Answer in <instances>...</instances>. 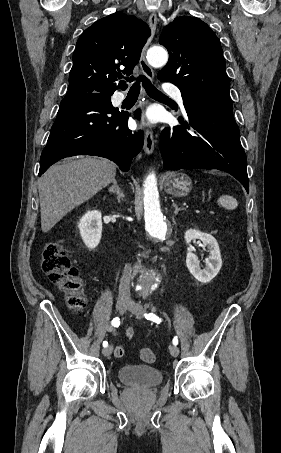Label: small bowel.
<instances>
[{"mask_svg":"<svg viewBox=\"0 0 281 453\" xmlns=\"http://www.w3.org/2000/svg\"><path fill=\"white\" fill-rule=\"evenodd\" d=\"M134 336V331L131 328L126 329L125 331V337L128 339H132ZM124 352V347L123 346H116L114 348V354L116 356H120Z\"/></svg>","mask_w":281,"mask_h":453,"instance_id":"1","label":"small bowel"}]
</instances>
